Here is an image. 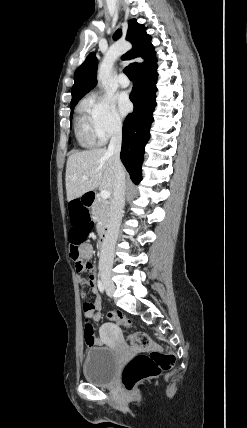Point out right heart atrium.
<instances>
[{
    "label": "right heart atrium",
    "instance_id": "d8ad5b80",
    "mask_svg": "<svg viewBox=\"0 0 247 428\" xmlns=\"http://www.w3.org/2000/svg\"><path fill=\"white\" fill-rule=\"evenodd\" d=\"M89 105L94 131L100 142H106L122 131V120L109 97L94 96Z\"/></svg>",
    "mask_w": 247,
    "mask_h": 428
}]
</instances>
